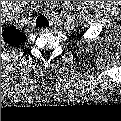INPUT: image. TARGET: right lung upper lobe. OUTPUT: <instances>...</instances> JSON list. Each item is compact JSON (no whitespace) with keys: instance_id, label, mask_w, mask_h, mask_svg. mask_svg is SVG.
<instances>
[{"instance_id":"cb5924a9","label":"right lung upper lobe","mask_w":121,"mask_h":121,"mask_svg":"<svg viewBox=\"0 0 121 121\" xmlns=\"http://www.w3.org/2000/svg\"><path fill=\"white\" fill-rule=\"evenodd\" d=\"M3 37L6 43L12 47H19L26 41V36L14 26H8L3 31Z\"/></svg>"}]
</instances>
